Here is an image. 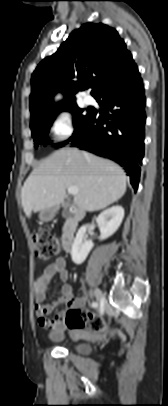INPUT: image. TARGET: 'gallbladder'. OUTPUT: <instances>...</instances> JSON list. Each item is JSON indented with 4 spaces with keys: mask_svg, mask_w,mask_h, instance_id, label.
<instances>
[{
    "mask_svg": "<svg viewBox=\"0 0 168 406\" xmlns=\"http://www.w3.org/2000/svg\"><path fill=\"white\" fill-rule=\"evenodd\" d=\"M62 215H63V217L67 218V217H69L71 214H70V212H69L67 209H65V210H63Z\"/></svg>",
    "mask_w": 168,
    "mask_h": 406,
    "instance_id": "1",
    "label": "gallbladder"
}]
</instances>
